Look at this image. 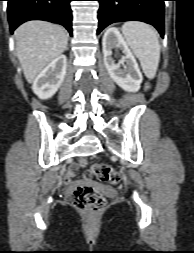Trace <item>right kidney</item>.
I'll return each mask as SVG.
<instances>
[{"mask_svg":"<svg viewBox=\"0 0 194 253\" xmlns=\"http://www.w3.org/2000/svg\"><path fill=\"white\" fill-rule=\"evenodd\" d=\"M67 68V58L60 55L49 63L33 82V92L40 99L51 98L63 83Z\"/></svg>","mask_w":194,"mask_h":253,"instance_id":"obj_1","label":"right kidney"}]
</instances>
